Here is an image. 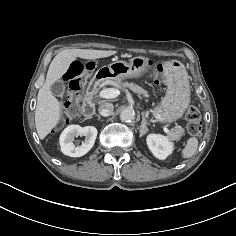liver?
<instances>
[{
    "mask_svg": "<svg viewBox=\"0 0 236 236\" xmlns=\"http://www.w3.org/2000/svg\"><path fill=\"white\" fill-rule=\"evenodd\" d=\"M115 50L65 49L52 60L45 83L40 88L35 109V126L40 139H44L61 118V104L52 94L50 87L66 73L77 58L99 59L116 54Z\"/></svg>",
    "mask_w": 236,
    "mask_h": 236,
    "instance_id": "6515ba94",
    "label": "liver"
}]
</instances>
